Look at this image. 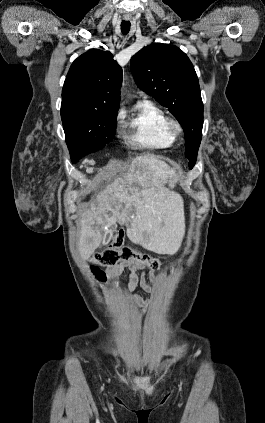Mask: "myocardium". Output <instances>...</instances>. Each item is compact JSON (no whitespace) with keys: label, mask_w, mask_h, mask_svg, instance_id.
I'll return each instance as SVG.
<instances>
[{"label":"myocardium","mask_w":265,"mask_h":423,"mask_svg":"<svg viewBox=\"0 0 265 423\" xmlns=\"http://www.w3.org/2000/svg\"><path fill=\"white\" fill-rule=\"evenodd\" d=\"M165 127L174 139L180 137L184 132L183 125L177 119L167 118Z\"/></svg>","instance_id":"obj_1"}]
</instances>
